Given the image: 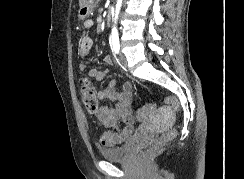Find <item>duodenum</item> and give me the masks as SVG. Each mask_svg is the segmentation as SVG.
<instances>
[{"instance_id":"duodenum-1","label":"duodenum","mask_w":244,"mask_h":179,"mask_svg":"<svg viewBox=\"0 0 244 179\" xmlns=\"http://www.w3.org/2000/svg\"><path fill=\"white\" fill-rule=\"evenodd\" d=\"M111 14H112V10H111V9H109V10H108V16H107V20H109V19H110Z\"/></svg>"}]
</instances>
